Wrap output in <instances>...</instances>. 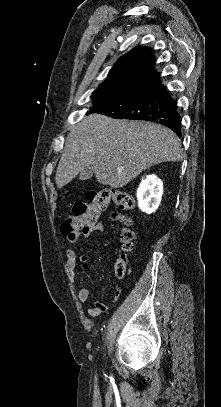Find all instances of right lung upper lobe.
<instances>
[{"label":"right lung upper lobe","mask_w":221,"mask_h":407,"mask_svg":"<svg viewBox=\"0 0 221 407\" xmlns=\"http://www.w3.org/2000/svg\"><path fill=\"white\" fill-rule=\"evenodd\" d=\"M155 56L148 47L137 46L120 57L99 88L126 89L143 86L158 76L154 70Z\"/></svg>","instance_id":"cb5924a9"}]
</instances>
